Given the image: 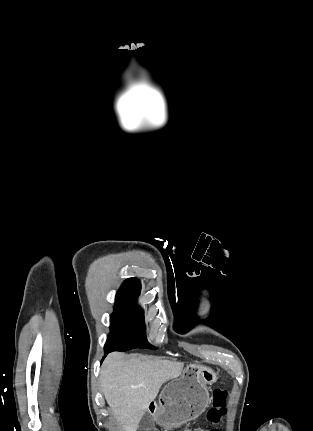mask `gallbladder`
I'll list each match as a JSON object with an SVG mask.
<instances>
[{
	"label": "gallbladder",
	"instance_id": "1",
	"mask_svg": "<svg viewBox=\"0 0 313 431\" xmlns=\"http://www.w3.org/2000/svg\"><path fill=\"white\" fill-rule=\"evenodd\" d=\"M142 423L145 426H152L153 425V419H152L151 415L148 413L144 414L143 419H142Z\"/></svg>",
	"mask_w": 313,
	"mask_h": 431
}]
</instances>
